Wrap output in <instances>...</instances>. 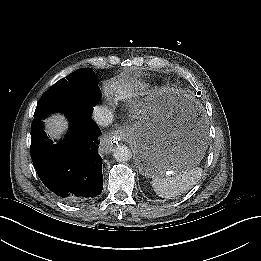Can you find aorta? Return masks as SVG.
<instances>
[{"label":"aorta","instance_id":"1","mask_svg":"<svg viewBox=\"0 0 261 261\" xmlns=\"http://www.w3.org/2000/svg\"><path fill=\"white\" fill-rule=\"evenodd\" d=\"M113 156L118 162H127L132 157V152L126 145H117L113 150Z\"/></svg>","mask_w":261,"mask_h":261}]
</instances>
